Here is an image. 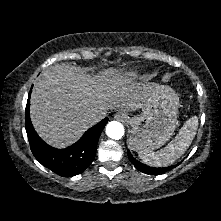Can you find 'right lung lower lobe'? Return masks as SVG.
<instances>
[{"label":"right lung lower lobe","mask_w":221,"mask_h":221,"mask_svg":"<svg viewBox=\"0 0 221 221\" xmlns=\"http://www.w3.org/2000/svg\"><path fill=\"white\" fill-rule=\"evenodd\" d=\"M30 95L26 105L25 128L34 157L44 167L60 176L72 177L82 173L94 160L98 140L108 118L90 128L79 141L66 149H56L46 144L34 130L30 115Z\"/></svg>","instance_id":"98d812e1"}]
</instances>
